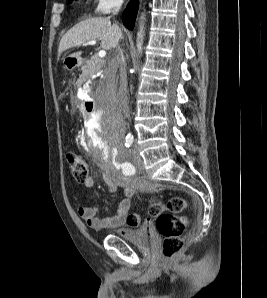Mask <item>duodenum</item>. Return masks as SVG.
Wrapping results in <instances>:
<instances>
[{"label": "duodenum", "instance_id": "obj_1", "mask_svg": "<svg viewBox=\"0 0 267 298\" xmlns=\"http://www.w3.org/2000/svg\"><path fill=\"white\" fill-rule=\"evenodd\" d=\"M79 63L73 65V67L78 66ZM96 93H89V97L80 98V103L83 105V109H85V115H95V110L93 105H96Z\"/></svg>", "mask_w": 267, "mask_h": 298}]
</instances>
